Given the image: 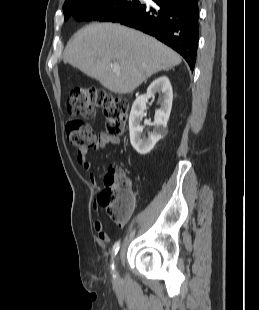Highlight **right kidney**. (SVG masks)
<instances>
[{
	"label": "right kidney",
	"instance_id": "right-kidney-1",
	"mask_svg": "<svg viewBox=\"0 0 259 310\" xmlns=\"http://www.w3.org/2000/svg\"><path fill=\"white\" fill-rule=\"evenodd\" d=\"M156 92L161 93L163 96L161 108L155 112L153 131L148 135V138H142L143 127L141 126V121L144 116V109L148 99L154 97ZM172 100L173 91L171 83L167 76H161L150 84L146 94L140 95L134 101L129 116L130 142L140 155L149 153L155 144L166 135Z\"/></svg>",
	"mask_w": 259,
	"mask_h": 310
}]
</instances>
